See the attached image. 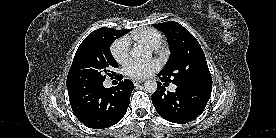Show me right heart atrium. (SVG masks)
Listing matches in <instances>:
<instances>
[{"mask_svg":"<svg viewBox=\"0 0 276 138\" xmlns=\"http://www.w3.org/2000/svg\"><path fill=\"white\" fill-rule=\"evenodd\" d=\"M112 57L120 64H125L129 59V42L126 38H119L110 47Z\"/></svg>","mask_w":276,"mask_h":138,"instance_id":"right-heart-atrium-1","label":"right heart atrium"}]
</instances>
